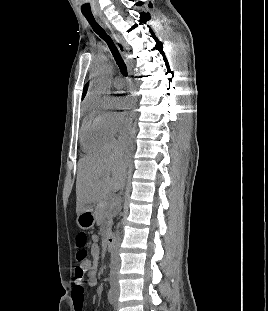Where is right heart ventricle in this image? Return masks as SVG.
<instances>
[{"label":"right heart ventricle","instance_id":"1","mask_svg":"<svg viewBox=\"0 0 268 311\" xmlns=\"http://www.w3.org/2000/svg\"><path fill=\"white\" fill-rule=\"evenodd\" d=\"M114 136L104 127L99 118L88 114L82 123L80 141L84 150L96 151L109 145Z\"/></svg>","mask_w":268,"mask_h":311}]
</instances>
